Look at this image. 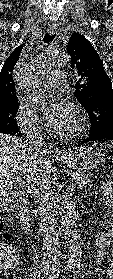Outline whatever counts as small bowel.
Segmentation results:
<instances>
[{
    "mask_svg": "<svg viewBox=\"0 0 113 279\" xmlns=\"http://www.w3.org/2000/svg\"><path fill=\"white\" fill-rule=\"evenodd\" d=\"M107 204L113 208V193L107 194ZM95 260L99 265L95 270L108 279H113V218L105 229L94 238Z\"/></svg>",
    "mask_w": 113,
    "mask_h": 279,
    "instance_id": "1",
    "label": "small bowel"
}]
</instances>
